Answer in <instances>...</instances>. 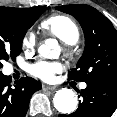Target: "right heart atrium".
<instances>
[{"label":"right heart atrium","instance_id":"d8ad5b80","mask_svg":"<svg viewBox=\"0 0 117 117\" xmlns=\"http://www.w3.org/2000/svg\"><path fill=\"white\" fill-rule=\"evenodd\" d=\"M36 45L35 34L31 31L27 32L22 38V47L26 50H33Z\"/></svg>","mask_w":117,"mask_h":117}]
</instances>
